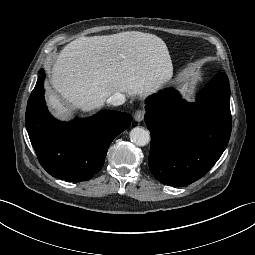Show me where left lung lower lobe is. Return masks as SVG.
<instances>
[{
    "label": "left lung lower lobe",
    "instance_id": "0a47b994",
    "mask_svg": "<svg viewBox=\"0 0 255 255\" xmlns=\"http://www.w3.org/2000/svg\"><path fill=\"white\" fill-rule=\"evenodd\" d=\"M151 133V173L169 186H186L203 177L224 152L231 134L230 87L217 74L196 103L168 88L146 99L144 116Z\"/></svg>",
    "mask_w": 255,
    "mask_h": 255
}]
</instances>
